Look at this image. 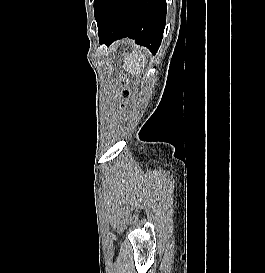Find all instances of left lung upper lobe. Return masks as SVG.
Here are the masks:
<instances>
[{"label": "left lung upper lobe", "instance_id": "5c2ea615", "mask_svg": "<svg viewBox=\"0 0 265 273\" xmlns=\"http://www.w3.org/2000/svg\"><path fill=\"white\" fill-rule=\"evenodd\" d=\"M94 11H95V18L99 27L103 23L106 14H105V11L100 9L99 7H94Z\"/></svg>", "mask_w": 265, "mask_h": 273}]
</instances>
